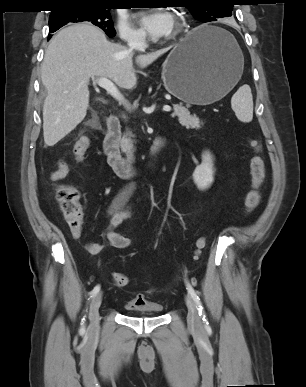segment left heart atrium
<instances>
[{
	"label": "left heart atrium",
	"mask_w": 306,
	"mask_h": 387,
	"mask_svg": "<svg viewBox=\"0 0 306 387\" xmlns=\"http://www.w3.org/2000/svg\"><path fill=\"white\" fill-rule=\"evenodd\" d=\"M143 30L153 38H162L172 33L174 20L172 16L162 10H153L140 18Z\"/></svg>",
	"instance_id": "39dd6f15"
}]
</instances>
